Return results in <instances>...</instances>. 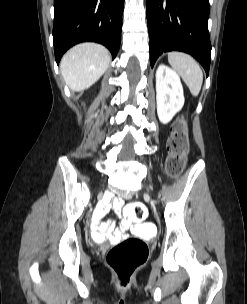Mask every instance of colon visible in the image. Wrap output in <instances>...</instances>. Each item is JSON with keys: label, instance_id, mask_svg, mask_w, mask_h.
<instances>
[{"label": "colon", "instance_id": "colon-1", "mask_svg": "<svg viewBox=\"0 0 247 304\" xmlns=\"http://www.w3.org/2000/svg\"><path fill=\"white\" fill-rule=\"evenodd\" d=\"M169 155L166 169L170 176H178L185 164L188 152L187 125L184 119H178L173 127L168 141ZM146 202H131L124 208V214L129 219L145 221L148 217ZM131 237L112 247L107 254V264L114 272L121 287H128L137 269L144 264L148 256V247L141 238H159L160 233L154 224H141L134 227Z\"/></svg>", "mask_w": 247, "mask_h": 304}]
</instances>
